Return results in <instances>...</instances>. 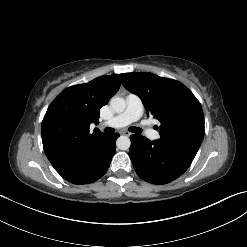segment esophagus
<instances>
[{"label":"esophagus","mask_w":247,"mask_h":247,"mask_svg":"<svg viewBox=\"0 0 247 247\" xmlns=\"http://www.w3.org/2000/svg\"><path fill=\"white\" fill-rule=\"evenodd\" d=\"M121 134L122 135H125V136H130L131 135V133L128 132V131H122Z\"/></svg>","instance_id":"1"}]
</instances>
